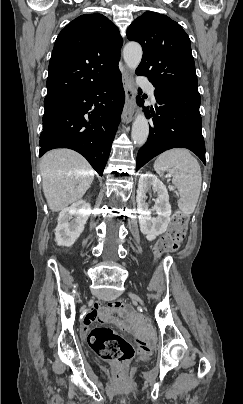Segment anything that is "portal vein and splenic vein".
I'll list each match as a JSON object with an SVG mask.
<instances>
[{"label":"portal vein and splenic vein","instance_id":"portal-vein-and-splenic-vein-1","mask_svg":"<svg viewBox=\"0 0 243 404\" xmlns=\"http://www.w3.org/2000/svg\"><path fill=\"white\" fill-rule=\"evenodd\" d=\"M171 178H172L171 174L165 175V181L166 182H169Z\"/></svg>","mask_w":243,"mask_h":404}]
</instances>
